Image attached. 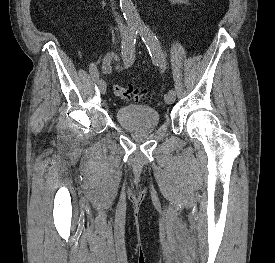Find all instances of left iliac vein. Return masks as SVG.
Listing matches in <instances>:
<instances>
[{
  "label": "left iliac vein",
  "instance_id": "obj_1",
  "mask_svg": "<svg viewBox=\"0 0 275 263\" xmlns=\"http://www.w3.org/2000/svg\"><path fill=\"white\" fill-rule=\"evenodd\" d=\"M164 101L167 104H172L175 101V94L168 92L167 94L164 95Z\"/></svg>",
  "mask_w": 275,
  "mask_h": 263
}]
</instances>
